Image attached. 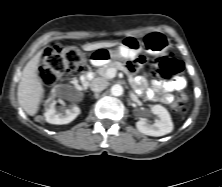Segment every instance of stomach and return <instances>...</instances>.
Instances as JSON below:
<instances>
[{"label": "stomach", "instance_id": "1", "mask_svg": "<svg viewBox=\"0 0 222 187\" xmlns=\"http://www.w3.org/2000/svg\"><path fill=\"white\" fill-rule=\"evenodd\" d=\"M170 47V39L164 32L153 31L146 34L143 40L128 36L114 49H96L92 55V62L106 63L112 59L129 60L135 58L142 50L159 55L166 52Z\"/></svg>", "mask_w": 222, "mask_h": 187}]
</instances>
